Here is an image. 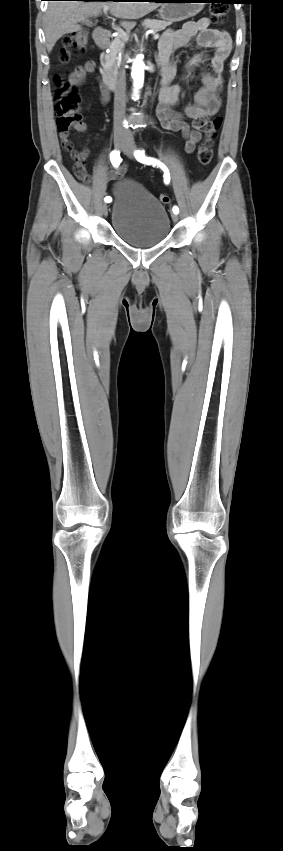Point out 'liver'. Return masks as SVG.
Wrapping results in <instances>:
<instances>
[{"label":"liver","mask_w":283,"mask_h":851,"mask_svg":"<svg viewBox=\"0 0 283 851\" xmlns=\"http://www.w3.org/2000/svg\"><path fill=\"white\" fill-rule=\"evenodd\" d=\"M160 5L158 2L50 1L44 15L47 51L51 52L63 35L79 31V22L98 16L104 7L117 18L133 20L144 17ZM121 25L129 30L134 23L123 21Z\"/></svg>","instance_id":"obj_1"}]
</instances>
